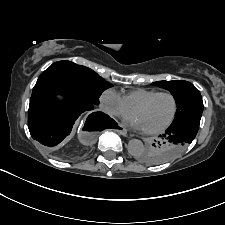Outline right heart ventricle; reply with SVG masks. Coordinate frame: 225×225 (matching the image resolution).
<instances>
[{
  "instance_id": "1",
  "label": "right heart ventricle",
  "mask_w": 225,
  "mask_h": 225,
  "mask_svg": "<svg viewBox=\"0 0 225 225\" xmlns=\"http://www.w3.org/2000/svg\"><path fill=\"white\" fill-rule=\"evenodd\" d=\"M155 89L138 88L122 96L125 104L130 110H133L139 103L157 93Z\"/></svg>"
}]
</instances>
